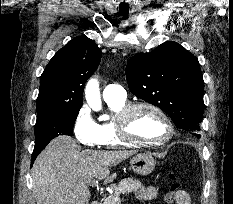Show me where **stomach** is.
<instances>
[{
  "label": "stomach",
  "instance_id": "1",
  "mask_svg": "<svg viewBox=\"0 0 233 204\" xmlns=\"http://www.w3.org/2000/svg\"><path fill=\"white\" fill-rule=\"evenodd\" d=\"M156 161L148 153H141L135 155L130 160L131 169L139 175H148L155 168Z\"/></svg>",
  "mask_w": 233,
  "mask_h": 204
}]
</instances>
